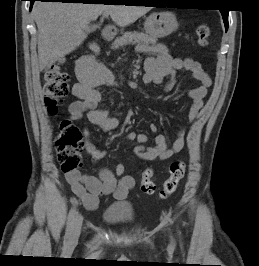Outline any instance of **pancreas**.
<instances>
[{"label": "pancreas", "instance_id": "1", "mask_svg": "<svg viewBox=\"0 0 259 266\" xmlns=\"http://www.w3.org/2000/svg\"><path fill=\"white\" fill-rule=\"evenodd\" d=\"M156 41L157 40L155 38L144 33L126 32L112 43V49L132 44L140 45L142 49L152 51L155 47Z\"/></svg>", "mask_w": 259, "mask_h": 266}]
</instances>
